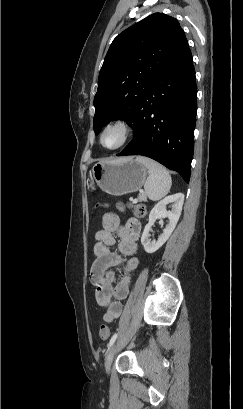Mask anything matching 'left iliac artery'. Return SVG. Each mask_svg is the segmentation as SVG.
<instances>
[{"mask_svg":"<svg viewBox=\"0 0 243 409\" xmlns=\"http://www.w3.org/2000/svg\"><path fill=\"white\" fill-rule=\"evenodd\" d=\"M117 336H118V334L115 333V334L111 337V339H110V341H109V343H108V345H107L108 348H110V347L113 345V343H114L115 340L117 339Z\"/></svg>","mask_w":243,"mask_h":409,"instance_id":"left-iliac-artery-1","label":"left iliac artery"}]
</instances>
